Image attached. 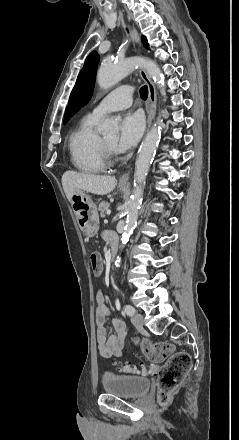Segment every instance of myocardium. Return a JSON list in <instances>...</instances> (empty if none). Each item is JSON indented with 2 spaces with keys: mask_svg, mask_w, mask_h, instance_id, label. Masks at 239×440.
I'll use <instances>...</instances> for the list:
<instances>
[{
  "mask_svg": "<svg viewBox=\"0 0 239 440\" xmlns=\"http://www.w3.org/2000/svg\"><path fill=\"white\" fill-rule=\"evenodd\" d=\"M100 147L106 163L111 164L115 156L113 147L106 144L103 139H100Z\"/></svg>",
  "mask_w": 239,
  "mask_h": 440,
  "instance_id": "myocardium-1",
  "label": "myocardium"
}]
</instances>
